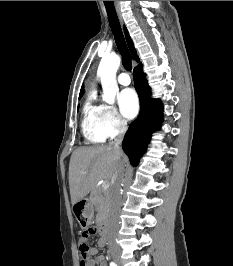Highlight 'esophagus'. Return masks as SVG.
Instances as JSON below:
<instances>
[{
  "label": "esophagus",
  "mask_w": 233,
  "mask_h": 266,
  "mask_svg": "<svg viewBox=\"0 0 233 266\" xmlns=\"http://www.w3.org/2000/svg\"><path fill=\"white\" fill-rule=\"evenodd\" d=\"M115 8H116V12H117L120 22L123 23L122 13H121V9H120V5L118 1H115Z\"/></svg>",
  "instance_id": "1"
}]
</instances>
